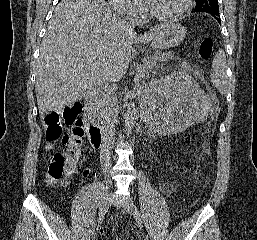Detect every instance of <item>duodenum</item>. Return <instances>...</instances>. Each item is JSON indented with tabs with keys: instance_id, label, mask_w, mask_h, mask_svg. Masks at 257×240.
<instances>
[{
	"instance_id": "410a0bca",
	"label": "duodenum",
	"mask_w": 257,
	"mask_h": 240,
	"mask_svg": "<svg viewBox=\"0 0 257 240\" xmlns=\"http://www.w3.org/2000/svg\"><path fill=\"white\" fill-rule=\"evenodd\" d=\"M96 99L94 91L85 94L86 129L91 145L100 149L107 146L114 136V125L112 123L98 124L95 121L93 107Z\"/></svg>"
}]
</instances>
